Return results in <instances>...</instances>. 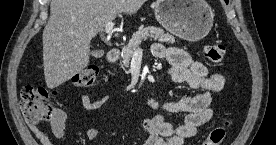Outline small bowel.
<instances>
[{"instance_id": "1", "label": "small bowel", "mask_w": 276, "mask_h": 145, "mask_svg": "<svg viewBox=\"0 0 276 145\" xmlns=\"http://www.w3.org/2000/svg\"><path fill=\"white\" fill-rule=\"evenodd\" d=\"M152 53L155 57L169 62L168 75L174 83L187 84L191 89L201 92L163 103L149 98V106L162 113L142 120V126L149 134L143 145H184L185 141L193 137L201 126L210 121L213 115L212 94L223 89L224 78L220 74H210L203 63L192 59L182 49L167 48L156 43L152 47ZM108 101V96L97 100H92L88 95L80 97L82 106L87 110L98 109ZM163 113L184 114L183 122L175 126L165 118ZM66 121V114L57 110L50 125L53 136L58 140L65 135ZM30 129L41 145H52L45 132L35 126ZM99 133L98 129L90 128L84 134L87 139L94 140Z\"/></svg>"}]
</instances>
